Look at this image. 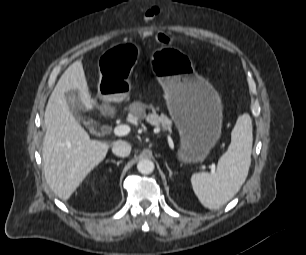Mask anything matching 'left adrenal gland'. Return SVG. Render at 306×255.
I'll return each mask as SVG.
<instances>
[{
  "label": "left adrenal gland",
  "instance_id": "a2214340",
  "mask_svg": "<svg viewBox=\"0 0 306 255\" xmlns=\"http://www.w3.org/2000/svg\"><path fill=\"white\" fill-rule=\"evenodd\" d=\"M165 165H166V168H167V170L169 172L170 177H172L173 173H172L171 169L169 168L167 162H165Z\"/></svg>",
  "mask_w": 306,
  "mask_h": 255
}]
</instances>
